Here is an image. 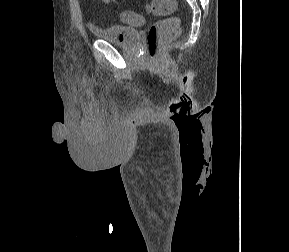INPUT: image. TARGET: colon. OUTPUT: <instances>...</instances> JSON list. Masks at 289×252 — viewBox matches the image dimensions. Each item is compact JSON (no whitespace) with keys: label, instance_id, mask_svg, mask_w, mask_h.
I'll list each match as a JSON object with an SVG mask.
<instances>
[{"label":"colon","instance_id":"colon-1","mask_svg":"<svg viewBox=\"0 0 289 252\" xmlns=\"http://www.w3.org/2000/svg\"><path fill=\"white\" fill-rule=\"evenodd\" d=\"M174 0H151L147 10L155 15H169L175 10ZM123 20L129 25H140L142 17L134 12H124ZM180 26L177 18H166L153 23L147 32L146 48L152 62L158 60L160 51L164 45L177 37Z\"/></svg>","mask_w":289,"mask_h":252}]
</instances>
